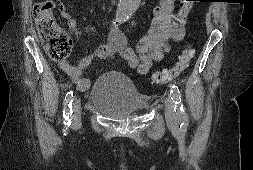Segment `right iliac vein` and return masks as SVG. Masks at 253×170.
Segmentation results:
<instances>
[{
	"label": "right iliac vein",
	"instance_id": "1",
	"mask_svg": "<svg viewBox=\"0 0 253 170\" xmlns=\"http://www.w3.org/2000/svg\"><path fill=\"white\" fill-rule=\"evenodd\" d=\"M81 122V105L78 100H75L73 104V115H72V124L74 126L79 125Z\"/></svg>",
	"mask_w": 253,
	"mask_h": 170
}]
</instances>
